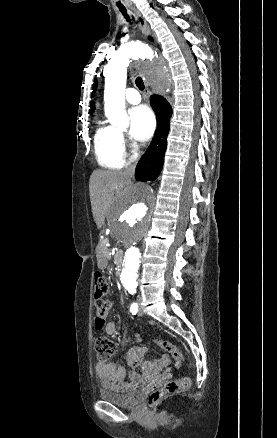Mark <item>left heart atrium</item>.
<instances>
[{
	"label": "left heart atrium",
	"instance_id": "left-heart-atrium-1",
	"mask_svg": "<svg viewBox=\"0 0 277 438\" xmlns=\"http://www.w3.org/2000/svg\"><path fill=\"white\" fill-rule=\"evenodd\" d=\"M133 122V136L139 141H147L153 134L155 118L153 112L146 106L134 108L130 111Z\"/></svg>",
	"mask_w": 277,
	"mask_h": 438
}]
</instances>
